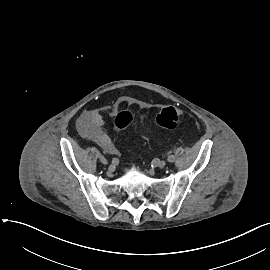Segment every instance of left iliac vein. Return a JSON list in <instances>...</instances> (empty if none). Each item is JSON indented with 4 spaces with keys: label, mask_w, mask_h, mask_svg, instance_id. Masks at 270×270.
Returning <instances> with one entry per match:
<instances>
[{
    "label": "left iliac vein",
    "mask_w": 270,
    "mask_h": 270,
    "mask_svg": "<svg viewBox=\"0 0 270 270\" xmlns=\"http://www.w3.org/2000/svg\"><path fill=\"white\" fill-rule=\"evenodd\" d=\"M157 166L159 168H164L166 166V161L165 160L159 161L158 164H157Z\"/></svg>",
    "instance_id": "1"
}]
</instances>
